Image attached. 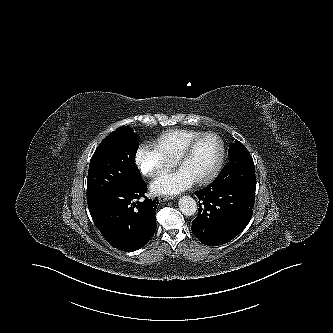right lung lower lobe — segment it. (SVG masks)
<instances>
[{
    "label": "right lung lower lobe",
    "mask_w": 333,
    "mask_h": 333,
    "mask_svg": "<svg viewBox=\"0 0 333 333\" xmlns=\"http://www.w3.org/2000/svg\"><path fill=\"white\" fill-rule=\"evenodd\" d=\"M146 183L141 180L88 201L94 224L106 241L122 251L142 248L156 231L155 208L159 201L145 199Z\"/></svg>",
    "instance_id": "obj_1"
}]
</instances>
